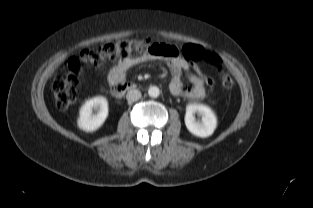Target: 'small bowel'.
I'll list each match as a JSON object with an SVG mask.
<instances>
[{
	"instance_id": "small-bowel-1",
	"label": "small bowel",
	"mask_w": 313,
	"mask_h": 208,
	"mask_svg": "<svg viewBox=\"0 0 313 208\" xmlns=\"http://www.w3.org/2000/svg\"><path fill=\"white\" fill-rule=\"evenodd\" d=\"M162 48L163 51L160 54L168 59L171 72L169 91L173 95L186 97L190 102L206 97L207 84L199 74L196 75L190 71L194 66L184 56H180L176 48L166 45H162ZM154 55L158 54L120 55L109 68H106L100 62L95 63V68L97 71L104 73L108 83L113 86L123 83L129 68L149 60ZM185 80L188 85H186Z\"/></svg>"
}]
</instances>
